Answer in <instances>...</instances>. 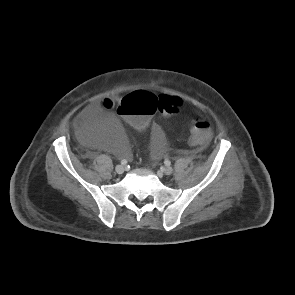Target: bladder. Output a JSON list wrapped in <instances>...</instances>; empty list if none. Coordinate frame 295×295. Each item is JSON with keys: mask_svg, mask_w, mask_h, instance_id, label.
Returning a JSON list of instances; mask_svg holds the SVG:
<instances>
[{"mask_svg": "<svg viewBox=\"0 0 295 295\" xmlns=\"http://www.w3.org/2000/svg\"><path fill=\"white\" fill-rule=\"evenodd\" d=\"M77 128L81 137L96 147L106 149L119 158L128 154L127 138L106 107L93 105L84 109L78 117Z\"/></svg>", "mask_w": 295, "mask_h": 295, "instance_id": "1", "label": "bladder"}]
</instances>
